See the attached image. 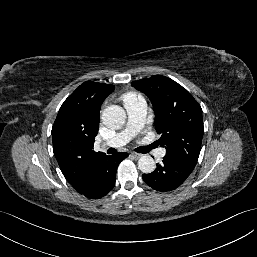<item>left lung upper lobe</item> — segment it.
Masks as SVG:
<instances>
[{
	"mask_svg": "<svg viewBox=\"0 0 257 257\" xmlns=\"http://www.w3.org/2000/svg\"><path fill=\"white\" fill-rule=\"evenodd\" d=\"M145 93L155 112V128L167 157L194 168L203 137L202 109L193 96L177 82L161 75L133 81Z\"/></svg>",
	"mask_w": 257,
	"mask_h": 257,
	"instance_id": "left-lung-upper-lobe-1",
	"label": "left lung upper lobe"
}]
</instances>
